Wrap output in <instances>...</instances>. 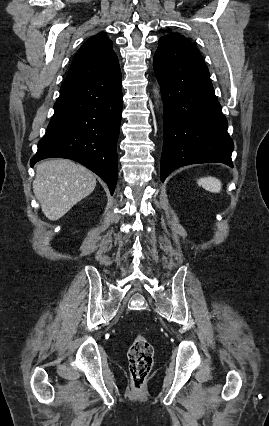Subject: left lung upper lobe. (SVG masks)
Returning <instances> with one entry per match:
<instances>
[{"instance_id": "1", "label": "left lung upper lobe", "mask_w": 269, "mask_h": 426, "mask_svg": "<svg viewBox=\"0 0 269 426\" xmlns=\"http://www.w3.org/2000/svg\"><path fill=\"white\" fill-rule=\"evenodd\" d=\"M161 38L171 39V40H179V41L180 40H182V41H188L183 35L178 34V33H170V34L165 35V36H163Z\"/></svg>"}]
</instances>
